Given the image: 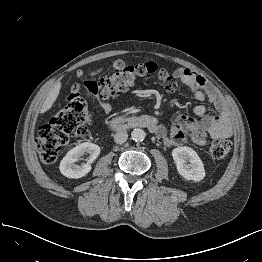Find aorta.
I'll return each instance as SVG.
<instances>
[{
	"mask_svg": "<svg viewBox=\"0 0 262 262\" xmlns=\"http://www.w3.org/2000/svg\"><path fill=\"white\" fill-rule=\"evenodd\" d=\"M145 132L143 129L140 128H135L132 133H131V137L135 142H141L145 139Z\"/></svg>",
	"mask_w": 262,
	"mask_h": 262,
	"instance_id": "obj_1",
	"label": "aorta"
}]
</instances>
